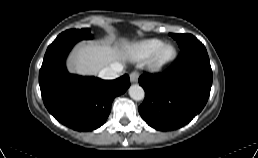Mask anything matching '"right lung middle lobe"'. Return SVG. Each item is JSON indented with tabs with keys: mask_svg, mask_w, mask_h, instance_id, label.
Wrapping results in <instances>:
<instances>
[{
	"mask_svg": "<svg viewBox=\"0 0 258 158\" xmlns=\"http://www.w3.org/2000/svg\"><path fill=\"white\" fill-rule=\"evenodd\" d=\"M92 38L93 36L90 34L89 29H70L59 34L55 40H62V39L83 40V39H92Z\"/></svg>",
	"mask_w": 258,
	"mask_h": 158,
	"instance_id": "obj_1",
	"label": "right lung middle lobe"
}]
</instances>
